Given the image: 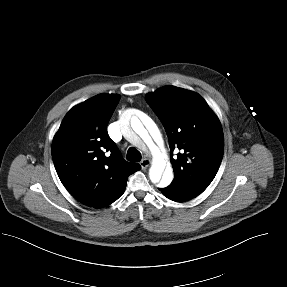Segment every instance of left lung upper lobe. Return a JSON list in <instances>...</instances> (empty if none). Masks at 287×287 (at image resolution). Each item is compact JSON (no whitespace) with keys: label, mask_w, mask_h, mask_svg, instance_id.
Wrapping results in <instances>:
<instances>
[{"label":"left lung upper lobe","mask_w":287,"mask_h":287,"mask_svg":"<svg viewBox=\"0 0 287 287\" xmlns=\"http://www.w3.org/2000/svg\"><path fill=\"white\" fill-rule=\"evenodd\" d=\"M146 102L162 122L168 139L174 179L193 196L214 179L223 157L224 137L219 119L193 91L166 86L148 93Z\"/></svg>","instance_id":"5c2ea615"}]
</instances>
